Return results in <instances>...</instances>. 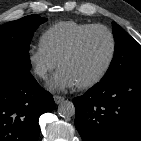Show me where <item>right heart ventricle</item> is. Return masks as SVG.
<instances>
[{
	"label": "right heart ventricle",
	"mask_w": 141,
	"mask_h": 141,
	"mask_svg": "<svg viewBox=\"0 0 141 141\" xmlns=\"http://www.w3.org/2000/svg\"><path fill=\"white\" fill-rule=\"evenodd\" d=\"M92 25L94 24L74 20L57 22L42 33L39 44L52 58L58 61L74 38Z\"/></svg>",
	"instance_id": "obj_1"
}]
</instances>
